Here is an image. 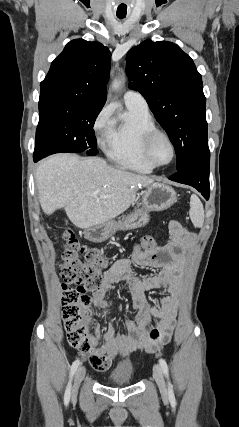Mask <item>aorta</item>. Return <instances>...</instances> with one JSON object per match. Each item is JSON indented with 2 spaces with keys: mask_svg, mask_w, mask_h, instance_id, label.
<instances>
[{
  "mask_svg": "<svg viewBox=\"0 0 239 427\" xmlns=\"http://www.w3.org/2000/svg\"><path fill=\"white\" fill-rule=\"evenodd\" d=\"M112 87H113L114 89H118V88L120 87V82H119L118 80H115V81L113 82V84H112Z\"/></svg>",
  "mask_w": 239,
  "mask_h": 427,
  "instance_id": "762f6f07",
  "label": "aorta"
}]
</instances>
